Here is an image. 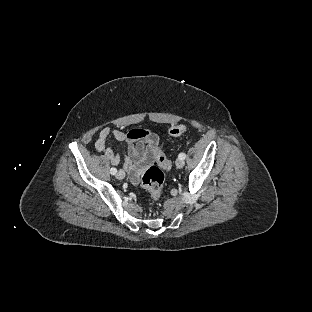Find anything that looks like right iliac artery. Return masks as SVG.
<instances>
[{
  "mask_svg": "<svg viewBox=\"0 0 312 312\" xmlns=\"http://www.w3.org/2000/svg\"><path fill=\"white\" fill-rule=\"evenodd\" d=\"M110 173H111L112 175H115V174L117 173V169H116V168H111V169H110Z\"/></svg>",
  "mask_w": 312,
  "mask_h": 312,
  "instance_id": "obj_1",
  "label": "right iliac artery"
}]
</instances>
